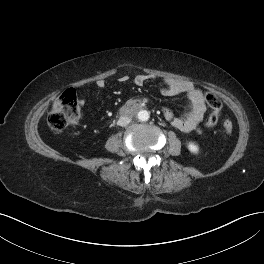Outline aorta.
<instances>
[{
	"label": "aorta",
	"mask_w": 264,
	"mask_h": 264,
	"mask_svg": "<svg viewBox=\"0 0 264 264\" xmlns=\"http://www.w3.org/2000/svg\"><path fill=\"white\" fill-rule=\"evenodd\" d=\"M136 118L139 121H147L150 118V114L147 110H140L137 115Z\"/></svg>",
	"instance_id": "1"
}]
</instances>
